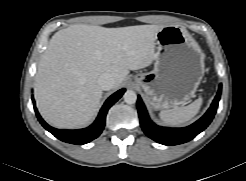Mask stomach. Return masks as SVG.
<instances>
[{"mask_svg":"<svg viewBox=\"0 0 246 181\" xmlns=\"http://www.w3.org/2000/svg\"><path fill=\"white\" fill-rule=\"evenodd\" d=\"M154 69L135 76L154 109L184 105L192 97L204 76V54L182 26L163 27L156 35Z\"/></svg>","mask_w":246,"mask_h":181,"instance_id":"0dacf381","label":"stomach"}]
</instances>
